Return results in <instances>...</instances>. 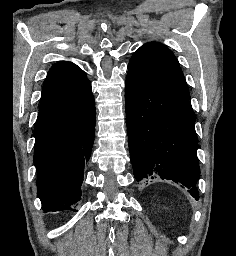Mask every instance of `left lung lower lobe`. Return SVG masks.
Masks as SVG:
<instances>
[{"instance_id":"0a47b994","label":"left lung lower lobe","mask_w":236,"mask_h":256,"mask_svg":"<svg viewBox=\"0 0 236 256\" xmlns=\"http://www.w3.org/2000/svg\"><path fill=\"white\" fill-rule=\"evenodd\" d=\"M125 106L130 158L138 184L172 180L198 200V138L190 101L128 71Z\"/></svg>"}]
</instances>
